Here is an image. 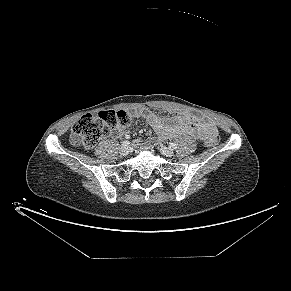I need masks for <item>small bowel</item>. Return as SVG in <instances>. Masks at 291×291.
<instances>
[{"instance_id":"small-bowel-1","label":"small bowel","mask_w":291,"mask_h":291,"mask_svg":"<svg viewBox=\"0 0 291 291\" xmlns=\"http://www.w3.org/2000/svg\"><path fill=\"white\" fill-rule=\"evenodd\" d=\"M133 116L144 118L156 132L159 140H164L171 136H192L204 139L208 134L216 132V127L212 122L205 121L190 113L164 118L150 110L138 109L134 111ZM119 134L120 131H117V135Z\"/></svg>"}]
</instances>
